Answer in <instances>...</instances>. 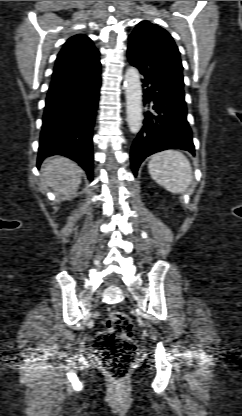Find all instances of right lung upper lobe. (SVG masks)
<instances>
[{
  "mask_svg": "<svg viewBox=\"0 0 242 416\" xmlns=\"http://www.w3.org/2000/svg\"><path fill=\"white\" fill-rule=\"evenodd\" d=\"M98 69L99 51L90 38L78 34L69 38L58 54L51 84L82 78Z\"/></svg>",
  "mask_w": 242,
  "mask_h": 416,
  "instance_id": "right-lung-upper-lobe-1",
  "label": "right lung upper lobe"
}]
</instances>
